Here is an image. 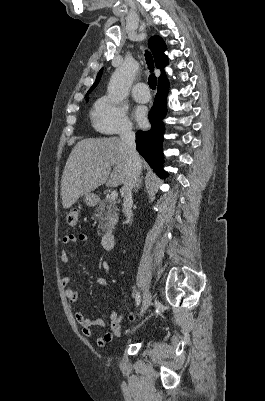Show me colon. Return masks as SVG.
Instances as JSON below:
<instances>
[{
	"label": "colon",
	"instance_id": "colon-1",
	"mask_svg": "<svg viewBox=\"0 0 265 401\" xmlns=\"http://www.w3.org/2000/svg\"><path fill=\"white\" fill-rule=\"evenodd\" d=\"M78 220V213L74 210L70 211L66 215V222L69 226H75ZM133 318V314L130 316Z\"/></svg>",
	"mask_w": 265,
	"mask_h": 401
}]
</instances>
